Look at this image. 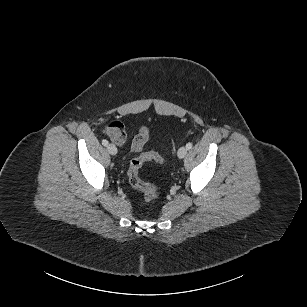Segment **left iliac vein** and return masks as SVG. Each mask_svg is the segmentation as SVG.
<instances>
[{
    "mask_svg": "<svg viewBox=\"0 0 307 307\" xmlns=\"http://www.w3.org/2000/svg\"><path fill=\"white\" fill-rule=\"evenodd\" d=\"M187 150L188 149L185 146H182L181 148H179L178 157L181 158V159L184 158L187 154Z\"/></svg>",
    "mask_w": 307,
    "mask_h": 307,
    "instance_id": "left-iliac-vein-1",
    "label": "left iliac vein"
}]
</instances>
